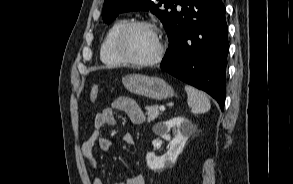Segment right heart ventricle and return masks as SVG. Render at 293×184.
<instances>
[{
	"label": "right heart ventricle",
	"instance_id": "1",
	"mask_svg": "<svg viewBox=\"0 0 293 184\" xmlns=\"http://www.w3.org/2000/svg\"><path fill=\"white\" fill-rule=\"evenodd\" d=\"M128 22L127 19L117 20L107 31L100 46V59L107 66H120L123 62L117 57L113 48L114 38L119 29Z\"/></svg>",
	"mask_w": 293,
	"mask_h": 184
}]
</instances>
